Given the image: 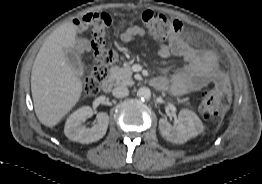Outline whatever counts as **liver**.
<instances>
[{"mask_svg": "<svg viewBox=\"0 0 262 184\" xmlns=\"http://www.w3.org/2000/svg\"><path fill=\"white\" fill-rule=\"evenodd\" d=\"M76 36L73 23L59 26L44 41L32 67L34 109L38 120L47 127L57 125L82 94V81L66 60V50L75 47Z\"/></svg>", "mask_w": 262, "mask_h": 184, "instance_id": "6515ba94", "label": "liver"}]
</instances>
